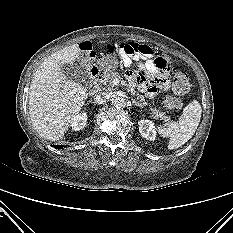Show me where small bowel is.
<instances>
[{
  "label": "small bowel",
  "mask_w": 233,
  "mask_h": 233,
  "mask_svg": "<svg viewBox=\"0 0 233 233\" xmlns=\"http://www.w3.org/2000/svg\"><path fill=\"white\" fill-rule=\"evenodd\" d=\"M106 48L111 52L117 50L125 66L135 64L138 67V71L129 72L128 77L136 81L149 96L154 97L160 91L169 88L168 73L171 70V62L150 46L128 42L116 47L107 44ZM80 50L86 62L95 56L94 46L88 41L80 44Z\"/></svg>",
  "instance_id": "1"
}]
</instances>
